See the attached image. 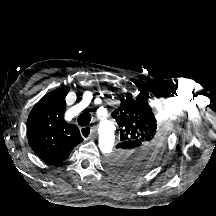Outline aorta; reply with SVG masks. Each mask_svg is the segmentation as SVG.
<instances>
[{
	"label": "aorta",
	"mask_w": 216,
	"mask_h": 216,
	"mask_svg": "<svg viewBox=\"0 0 216 216\" xmlns=\"http://www.w3.org/2000/svg\"><path fill=\"white\" fill-rule=\"evenodd\" d=\"M115 124L112 120L107 118H100L99 122V148L105 153L109 154L113 150L115 143Z\"/></svg>",
	"instance_id": "obj_1"
}]
</instances>
